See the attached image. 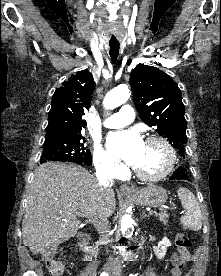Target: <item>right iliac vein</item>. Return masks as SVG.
I'll list each match as a JSON object with an SVG mask.
<instances>
[{"mask_svg": "<svg viewBox=\"0 0 221 276\" xmlns=\"http://www.w3.org/2000/svg\"><path fill=\"white\" fill-rule=\"evenodd\" d=\"M104 269H105L106 271H110V268H108V267H105Z\"/></svg>", "mask_w": 221, "mask_h": 276, "instance_id": "right-iliac-vein-1", "label": "right iliac vein"}]
</instances>
